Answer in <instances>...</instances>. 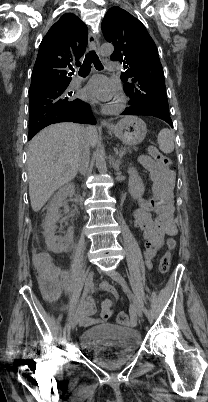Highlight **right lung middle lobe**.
Segmentation results:
<instances>
[{"mask_svg":"<svg viewBox=\"0 0 208 402\" xmlns=\"http://www.w3.org/2000/svg\"><path fill=\"white\" fill-rule=\"evenodd\" d=\"M71 79L46 82L29 90V120L44 114H52L73 110L81 100L74 98L67 87Z\"/></svg>","mask_w":208,"mask_h":402,"instance_id":"dd1d6c3e","label":"right lung middle lobe"}]
</instances>
